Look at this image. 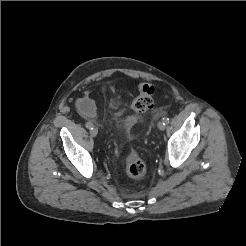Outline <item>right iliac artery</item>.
I'll return each mask as SVG.
<instances>
[{"label":"right iliac artery","instance_id":"82829eb1","mask_svg":"<svg viewBox=\"0 0 246 246\" xmlns=\"http://www.w3.org/2000/svg\"><path fill=\"white\" fill-rule=\"evenodd\" d=\"M86 127H87L88 129H93V124L90 123V122H87V123H86Z\"/></svg>","mask_w":246,"mask_h":246}]
</instances>
